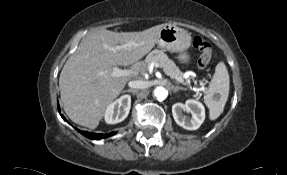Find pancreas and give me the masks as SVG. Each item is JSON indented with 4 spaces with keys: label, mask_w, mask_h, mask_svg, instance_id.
Here are the masks:
<instances>
[{
    "label": "pancreas",
    "mask_w": 287,
    "mask_h": 175,
    "mask_svg": "<svg viewBox=\"0 0 287 175\" xmlns=\"http://www.w3.org/2000/svg\"><path fill=\"white\" fill-rule=\"evenodd\" d=\"M153 62L159 63L160 67H162L164 72L171 78H174L177 81L183 79V72H181L176 64L168 58L163 50L155 49L147 55L145 59L146 65L150 66Z\"/></svg>",
    "instance_id": "cf45deb5"
}]
</instances>
